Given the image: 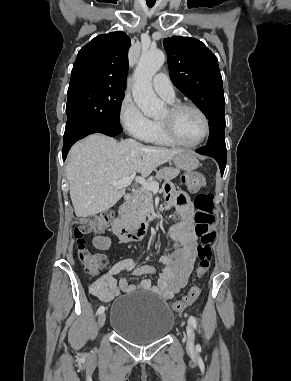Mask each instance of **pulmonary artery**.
<instances>
[{"instance_id":"obj_1","label":"pulmonary artery","mask_w":291,"mask_h":381,"mask_svg":"<svg viewBox=\"0 0 291 381\" xmlns=\"http://www.w3.org/2000/svg\"><path fill=\"white\" fill-rule=\"evenodd\" d=\"M153 87L157 94L167 101L175 99L174 87L165 73H159L153 78Z\"/></svg>"}]
</instances>
